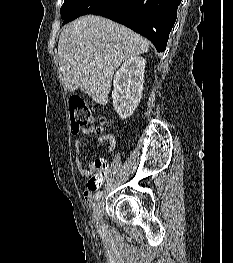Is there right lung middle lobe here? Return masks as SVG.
I'll list each match as a JSON object with an SVG mask.
<instances>
[{
	"instance_id": "1",
	"label": "right lung middle lobe",
	"mask_w": 233,
	"mask_h": 263,
	"mask_svg": "<svg viewBox=\"0 0 233 263\" xmlns=\"http://www.w3.org/2000/svg\"><path fill=\"white\" fill-rule=\"evenodd\" d=\"M122 0H64L61 7L63 24L85 14H99L115 10Z\"/></svg>"
}]
</instances>
